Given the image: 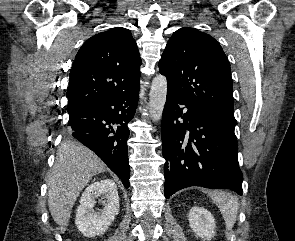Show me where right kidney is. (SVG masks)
Segmentation results:
<instances>
[{"label": "right kidney", "instance_id": "obj_1", "mask_svg": "<svg viewBox=\"0 0 295 241\" xmlns=\"http://www.w3.org/2000/svg\"><path fill=\"white\" fill-rule=\"evenodd\" d=\"M102 198L104 208L95 211L96 199ZM119 212L117 186L111 179H103L87 186L77 208L75 224L86 237L103 234Z\"/></svg>", "mask_w": 295, "mask_h": 241}]
</instances>
